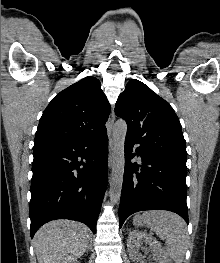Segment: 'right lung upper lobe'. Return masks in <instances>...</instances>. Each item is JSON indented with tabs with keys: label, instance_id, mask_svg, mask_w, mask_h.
I'll use <instances>...</instances> for the list:
<instances>
[{
	"label": "right lung upper lobe",
	"instance_id": "obj_1",
	"mask_svg": "<svg viewBox=\"0 0 220 263\" xmlns=\"http://www.w3.org/2000/svg\"><path fill=\"white\" fill-rule=\"evenodd\" d=\"M110 104L89 76L57 94L40 119L34 146L86 139L106 131Z\"/></svg>",
	"mask_w": 220,
	"mask_h": 263
}]
</instances>
